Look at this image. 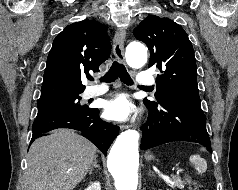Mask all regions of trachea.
<instances>
[{"mask_svg":"<svg viewBox=\"0 0 238 190\" xmlns=\"http://www.w3.org/2000/svg\"><path fill=\"white\" fill-rule=\"evenodd\" d=\"M118 77L124 84L133 85V80L128 74L125 66L117 62H113L108 72L101 78V81L109 83L115 81ZM88 79L93 80V77L89 76ZM141 88L150 89L151 87L141 86Z\"/></svg>","mask_w":238,"mask_h":190,"instance_id":"obj_1","label":"trachea"}]
</instances>
